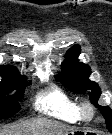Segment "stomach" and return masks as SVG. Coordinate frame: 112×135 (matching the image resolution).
I'll use <instances>...</instances> for the list:
<instances>
[{
    "instance_id": "stomach-1",
    "label": "stomach",
    "mask_w": 112,
    "mask_h": 135,
    "mask_svg": "<svg viewBox=\"0 0 112 135\" xmlns=\"http://www.w3.org/2000/svg\"><path fill=\"white\" fill-rule=\"evenodd\" d=\"M70 134H73V135H93L95 133L88 131V130H73L70 132Z\"/></svg>"
}]
</instances>
